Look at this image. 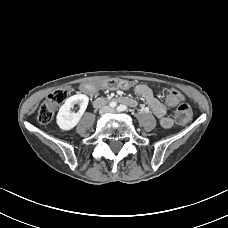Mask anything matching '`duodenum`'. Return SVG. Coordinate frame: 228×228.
<instances>
[{"label": "duodenum", "instance_id": "obj_1", "mask_svg": "<svg viewBox=\"0 0 228 228\" xmlns=\"http://www.w3.org/2000/svg\"><path fill=\"white\" fill-rule=\"evenodd\" d=\"M116 100L122 105H129V106L135 105V101H133L132 99L127 98V97H119ZM105 102H106V99L98 98V99L95 100L94 105L95 106H99V105H102Z\"/></svg>", "mask_w": 228, "mask_h": 228}]
</instances>
